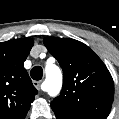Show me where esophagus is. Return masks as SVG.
I'll return each instance as SVG.
<instances>
[{
  "label": "esophagus",
  "mask_w": 119,
  "mask_h": 119,
  "mask_svg": "<svg viewBox=\"0 0 119 119\" xmlns=\"http://www.w3.org/2000/svg\"><path fill=\"white\" fill-rule=\"evenodd\" d=\"M33 85H34L37 89H40L41 81H33Z\"/></svg>",
  "instance_id": "obj_1"
}]
</instances>
